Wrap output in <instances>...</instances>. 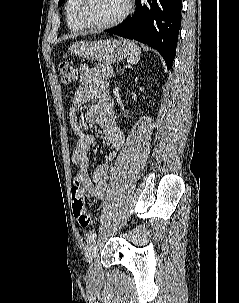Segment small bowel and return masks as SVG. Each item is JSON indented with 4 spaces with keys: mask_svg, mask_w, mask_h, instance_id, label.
I'll return each instance as SVG.
<instances>
[{
    "mask_svg": "<svg viewBox=\"0 0 239 303\" xmlns=\"http://www.w3.org/2000/svg\"><path fill=\"white\" fill-rule=\"evenodd\" d=\"M88 101L96 103L86 113L88 124L99 123L107 141L114 151L109 158L115 157L116 151L124 144V134L115 122L113 102L108 94V84L102 74L88 65L80 67V85L75 91L69 113V120L75 136L72 150V163L76 167L74 186L89 198L102 199L109 185L110 167L107 164L98 165L92 177L89 175V151L94 143L92 135L81 129L77 108Z\"/></svg>",
    "mask_w": 239,
    "mask_h": 303,
    "instance_id": "small-bowel-1",
    "label": "small bowel"
}]
</instances>
